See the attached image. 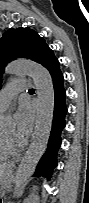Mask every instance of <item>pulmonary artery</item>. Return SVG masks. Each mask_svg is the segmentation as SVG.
I'll return each mask as SVG.
<instances>
[{
	"label": "pulmonary artery",
	"instance_id": "pulmonary-artery-1",
	"mask_svg": "<svg viewBox=\"0 0 89 203\" xmlns=\"http://www.w3.org/2000/svg\"><path fill=\"white\" fill-rule=\"evenodd\" d=\"M31 87L27 79H17L2 90L0 94V111H4L8 106L10 100L19 92L27 91Z\"/></svg>",
	"mask_w": 89,
	"mask_h": 203
}]
</instances>
